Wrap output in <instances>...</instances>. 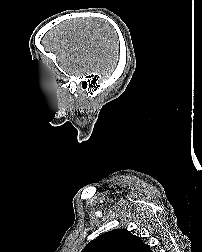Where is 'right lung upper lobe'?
<instances>
[{"mask_svg": "<svg viewBox=\"0 0 202 252\" xmlns=\"http://www.w3.org/2000/svg\"><path fill=\"white\" fill-rule=\"evenodd\" d=\"M82 252H152L136 235L125 229L106 232L91 241Z\"/></svg>", "mask_w": 202, "mask_h": 252, "instance_id": "1", "label": "right lung upper lobe"}]
</instances>
